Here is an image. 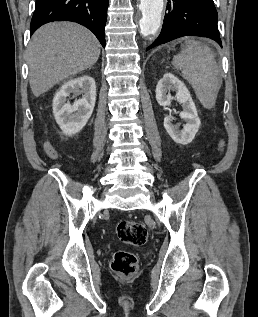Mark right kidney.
I'll use <instances>...</instances> for the list:
<instances>
[{
    "label": "right kidney",
    "instance_id": "right-kidney-1",
    "mask_svg": "<svg viewBox=\"0 0 258 317\" xmlns=\"http://www.w3.org/2000/svg\"><path fill=\"white\" fill-rule=\"evenodd\" d=\"M70 92H74V96L82 94V98L74 100L71 104V102H67ZM95 100L96 84L93 76H89V74L71 78L62 84L53 98V112L55 120L64 134L72 136L85 126L93 112Z\"/></svg>",
    "mask_w": 258,
    "mask_h": 317
}]
</instances>
